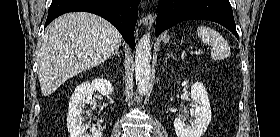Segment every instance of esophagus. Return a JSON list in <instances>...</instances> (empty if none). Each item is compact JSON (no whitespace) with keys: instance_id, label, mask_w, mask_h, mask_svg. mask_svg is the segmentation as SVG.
<instances>
[{"instance_id":"esophagus-1","label":"esophagus","mask_w":280,"mask_h":137,"mask_svg":"<svg viewBox=\"0 0 280 137\" xmlns=\"http://www.w3.org/2000/svg\"><path fill=\"white\" fill-rule=\"evenodd\" d=\"M141 23L143 25L147 26L148 28H151L153 23H154V15L153 14H149L147 16L142 17Z\"/></svg>"}]
</instances>
